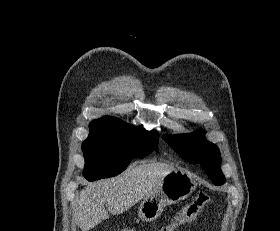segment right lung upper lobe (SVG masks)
<instances>
[{
    "label": "right lung upper lobe",
    "mask_w": 280,
    "mask_h": 231,
    "mask_svg": "<svg viewBox=\"0 0 280 231\" xmlns=\"http://www.w3.org/2000/svg\"><path fill=\"white\" fill-rule=\"evenodd\" d=\"M118 120V119H116V118H113V117H103V118H100V119H98V120ZM120 121V120H119Z\"/></svg>",
    "instance_id": "cb5924a9"
}]
</instances>
